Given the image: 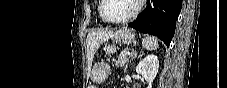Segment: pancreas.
I'll list each match as a JSON object with an SVG mask.
<instances>
[{
    "instance_id": "obj_1",
    "label": "pancreas",
    "mask_w": 227,
    "mask_h": 88,
    "mask_svg": "<svg viewBox=\"0 0 227 88\" xmlns=\"http://www.w3.org/2000/svg\"><path fill=\"white\" fill-rule=\"evenodd\" d=\"M125 51H122L120 54H119V56H118V58H117V60L115 61V65L116 66H124L126 63H127V56H125Z\"/></svg>"
}]
</instances>
